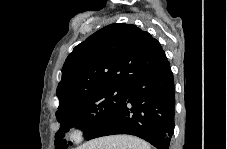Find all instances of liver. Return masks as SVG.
Masks as SVG:
<instances>
[{"label":"liver","mask_w":227,"mask_h":149,"mask_svg":"<svg viewBox=\"0 0 227 149\" xmlns=\"http://www.w3.org/2000/svg\"><path fill=\"white\" fill-rule=\"evenodd\" d=\"M78 149H150V145L135 136L112 135L89 141Z\"/></svg>","instance_id":"1"}]
</instances>
